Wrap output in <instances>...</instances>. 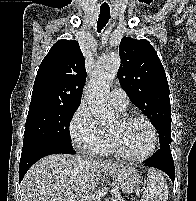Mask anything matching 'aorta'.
<instances>
[{
	"instance_id": "obj_1",
	"label": "aorta",
	"mask_w": 196,
	"mask_h": 201,
	"mask_svg": "<svg viewBox=\"0 0 196 201\" xmlns=\"http://www.w3.org/2000/svg\"><path fill=\"white\" fill-rule=\"evenodd\" d=\"M118 53H110L97 60L88 86L86 101L94 117L101 123L116 119V112L109 102L110 87L120 67Z\"/></svg>"
}]
</instances>
